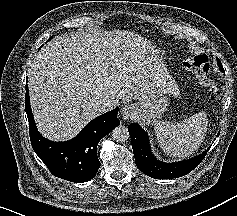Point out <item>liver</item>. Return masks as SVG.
Wrapping results in <instances>:
<instances>
[{
	"instance_id": "obj_1",
	"label": "liver",
	"mask_w": 237,
	"mask_h": 216,
	"mask_svg": "<svg viewBox=\"0 0 237 216\" xmlns=\"http://www.w3.org/2000/svg\"><path fill=\"white\" fill-rule=\"evenodd\" d=\"M162 82L161 72L124 65L108 31L59 35L42 48L28 71L32 113L43 137H75L106 111L100 101H142Z\"/></svg>"
}]
</instances>
